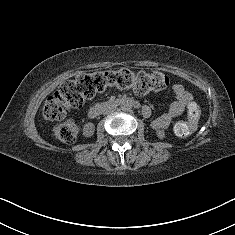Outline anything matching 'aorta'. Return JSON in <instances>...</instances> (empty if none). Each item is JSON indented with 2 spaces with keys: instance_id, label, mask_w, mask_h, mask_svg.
I'll list each match as a JSON object with an SVG mask.
<instances>
[{
  "instance_id": "762f6f07",
  "label": "aorta",
  "mask_w": 235,
  "mask_h": 235,
  "mask_svg": "<svg viewBox=\"0 0 235 235\" xmlns=\"http://www.w3.org/2000/svg\"><path fill=\"white\" fill-rule=\"evenodd\" d=\"M130 109V106L128 104H123L122 105V110L128 111Z\"/></svg>"
}]
</instances>
